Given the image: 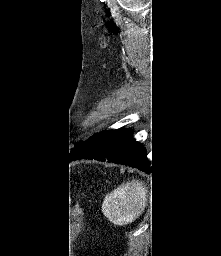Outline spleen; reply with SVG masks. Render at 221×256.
Here are the masks:
<instances>
[{
	"mask_svg": "<svg viewBox=\"0 0 221 256\" xmlns=\"http://www.w3.org/2000/svg\"><path fill=\"white\" fill-rule=\"evenodd\" d=\"M148 200V188L142 181L133 180L120 185L105 196L102 212L116 225L133 222L144 211Z\"/></svg>",
	"mask_w": 221,
	"mask_h": 256,
	"instance_id": "1",
	"label": "spleen"
}]
</instances>
